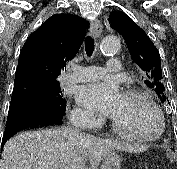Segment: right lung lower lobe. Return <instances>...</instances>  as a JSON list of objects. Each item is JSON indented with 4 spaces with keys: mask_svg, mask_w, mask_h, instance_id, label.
<instances>
[{
    "mask_svg": "<svg viewBox=\"0 0 177 169\" xmlns=\"http://www.w3.org/2000/svg\"><path fill=\"white\" fill-rule=\"evenodd\" d=\"M37 81L30 78L15 80L2 145L18 131L62 124L66 102L64 106L54 107L50 103L30 98L33 92L31 88Z\"/></svg>",
    "mask_w": 177,
    "mask_h": 169,
    "instance_id": "right-lung-lower-lobe-1",
    "label": "right lung lower lobe"
}]
</instances>
